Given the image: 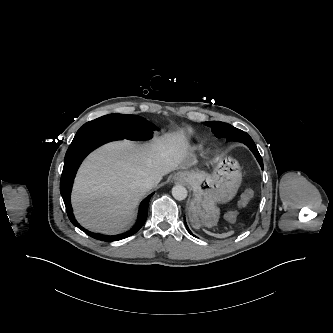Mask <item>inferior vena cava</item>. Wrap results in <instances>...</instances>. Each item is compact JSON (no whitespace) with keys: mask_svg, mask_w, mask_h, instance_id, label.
<instances>
[{"mask_svg":"<svg viewBox=\"0 0 333 333\" xmlns=\"http://www.w3.org/2000/svg\"><path fill=\"white\" fill-rule=\"evenodd\" d=\"M153 186H154V182L150 178H145L138 182V187L143 192L149 191L150 189L153 188Z\"/></svg>","mask_w":333,"mask_h":333,"instance_id":"602c4592","label":"inferior vena cava"}]
</instances>
